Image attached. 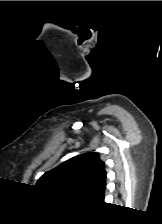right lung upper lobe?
Here are the masks:
<instances>
[{"instance_id": "right-lung-upper-lobe-1", "label": "right lung upper lobe", "mask_w": 162, "mask_h": 224, "mask_svg": "<svg viewBox=\"0 0 162 224\" xmlns=\"http://www.w3.org/2000/svg\"><path fill=\"white\" fill-rule=\"evenodd\" d=\"M104 162L97 153L75 156L40 177L36 186L49 192L80 197L101 203L106 187Z\"/></svg>"}]
</instances>
